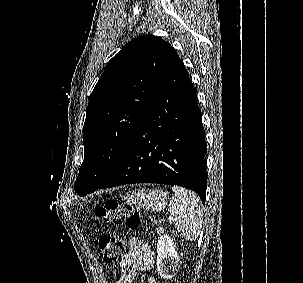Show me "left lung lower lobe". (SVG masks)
<instances>
[{"label": "left lung lower lobe", "instance_id": "obj_1", "mask_svg": "<svg viewBox=\"0 0 303 283\" xmlns=\"http://www.w3.org/2000/svg\"><path fill=\"white\" fill-rule=\"evenodd\" d=\"M205 131L179 56L163 78L114 174L98 190L133 183L178 185L206 196Z\"/></svg>", "mask_w": 303, "mask_h": 283}]
</instances>
